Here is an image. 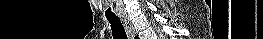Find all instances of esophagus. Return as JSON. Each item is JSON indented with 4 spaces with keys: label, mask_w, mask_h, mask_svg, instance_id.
<instances>
[{
    "label": "esophagus",
    "mask_w": 263,
    "mask_h": 39,
    "mask_svg": "<svg viewBox=\"0 0 263 39\" xmlns=\"http://www.w3.org/2000/svg\"><path fill=\"white\" fill-rule=\"evenodd\" d=\"M122 22L129 39H134L136 32L133 24L128 18H122Z\"/></svg>",
    "instance_id": "obj_1"
}]
</instances>
